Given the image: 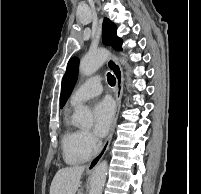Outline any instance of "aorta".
<instances>
[{
	"mask_svg": "<svg viewBox=\"0 0 201 194\" xmlns=\"http://www.w3.org/2000/svg\"><path fill=\"white\" fill-rule=\"evenodd\" d=\"M108 56L109 52L103 48L87 53L80 61V74L84 76L94 74L104 64ZM74 120L81 127L88 128L92 125L93 116L91 111L83 106L76 109ZM107 170L108 164L105 160L96 166L91 178L89 194H102Z\"/></svg>",
	"mask_w": 201,
	"mask_h": 194,
	"instance_id": "obj_1",
	"label": "aorta"
}]
</instances>
